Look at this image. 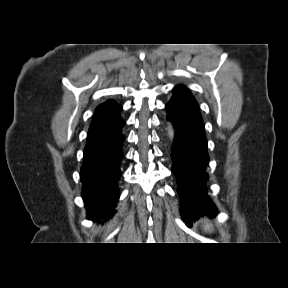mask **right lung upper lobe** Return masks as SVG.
Segmentation results:
<instances>
[{
	"mask_svg": "<svg viewBox=\"0 0 288 288\" xmlns=\"http://www.w3.org/2000/svg\"><path fill=\"white\" fill-rule=\"evenodd\" d=\"M121 110L122 106L113 100L98 106L89 128L86 145L100 143L117 133L124 122L120 117Z\"/></svg>",
	"mask_w": 288,
	"mask_h": 288,
	"instance_id": "cb5924a9",
	"label": "right lung upper lobe"
}]
</instances>
